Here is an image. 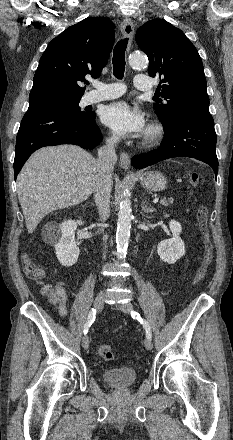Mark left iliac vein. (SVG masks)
<instances>
[{
	"mask_svg": "<svg viewBox=\"0 0 233 440\" xmlns=\"http://www.w3.org/2000/svg\"><path fill=\"white\" fill-rule=\"evenodd\" d=\"M117 307H118L121 311H123V312H125V313H130L131 310L133 309L132 304L129 303V302L124 303V304H118ZM144 346H145V348H146L147 350H151L152 347H153V344H152L151 339H146V340L144 341Z\"/></svg>",
	"mask_w": 233,
	"mask_h": 440,
	"instance_id": "1",
	"label": "left iliac vein"
}]
</instances>
